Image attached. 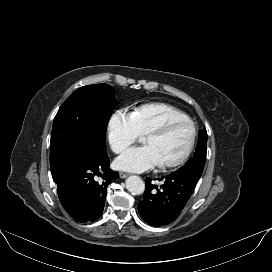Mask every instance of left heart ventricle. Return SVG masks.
Segmentation results:
<instances>
[{"mask_svg":"<svg viewBox=\"0 0 272 272\" xmlns=\"http://www.w3.org/2000/svg\"><path fill=\"white\" fill-rule=\"evenodd\" d=\"M191 139V129L187 125L178 126L163 136L145 137L144 142L155 149L161 163L172 162L186 151Z\"/></svg>","mask_w":272,"mask_h":272,"instance_id":"1","label":"left heart ventricle"}]
</instances>
